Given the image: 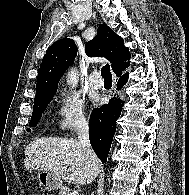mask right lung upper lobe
Here are the masks:
<instances>
[{
    "label": "right lung upper lobe",
    "instance_id": "obj_1",
    "mask_svg": "<svg viewBox=\"0 0 189 195\" xmlns=\"http://www.w3.org/2000/svg\"><path fill=\"white\" fill-rule=\"evenodd\" d=\"M85 52L90 57L107 58L117 76H121L129 67V62H124L130 58L128 48L124 46L123 39L106 24L98 27L97 36L86 43ZM76 56L77 46L72 39L63 38L52 44L40 65L34 103L54 96L61 76L74 63Z\"/></svg>",
    "mask_w": 189,
    "mask_h": 195
}]
</instances>
